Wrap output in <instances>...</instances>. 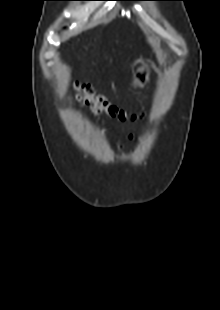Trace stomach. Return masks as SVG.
<instances>
[{
  "mask_svg": "<svg viewBox=\"0 0 220 310\" xmlns=\"http://www.w3.org/2000/svg\"><path fill=\"white\" fill-rule=\"evenodd\" d=\"M152 64L150 61L143 62L141 67H139L132 77V86L134 87H143L149 81L151 73Z\"/></svg>",
  "mask_w": 220,
  "mask_h": 310,
  "instance_id": "obj_1",
  "label": "stomach"
}]
</instances>
